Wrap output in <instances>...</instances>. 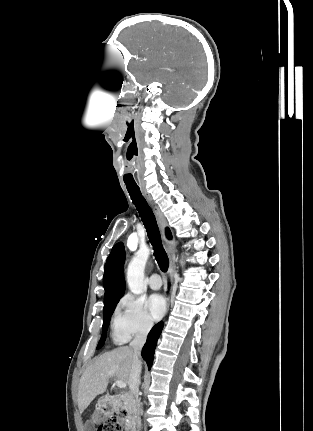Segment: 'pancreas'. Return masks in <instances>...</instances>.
<instances>
[{
	"mask_svg": "<svg viewBox=\"0 0 313 431\" xmlns=\"http://www.w3.org/2000/svg\"><path fill=\"white\" fill-rule=\"evenodd\" d=\"M113 407L117 412H119L120 409L124 410L126 408L120 399H117L113 402Z\"/></svg>",
	"mask_w": 313,
	"mask_h": 431,
	"instance_id": "1",
	"label": "pancreas"
}]
</instances>
